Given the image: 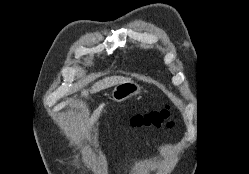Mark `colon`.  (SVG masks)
<instances>
[{
  "label": "colon",
  "instance_id": "5ec220e1",
  "mask_svg": "<svg viewBox=\"0 0 249 174\" xmlns=\"http://www.w3.org/2000/svg\"><path fill=\"white\" fill-rule=\"evenodd\" d=\"M169 119L170 111L168 109H162L137 114L131 118L130 123L132 126L138 128L159 129L164 126H171L172 122Z\"/></svg>",
  "mask_w": 249,
  "mask_h": 174
}]
</instances>
